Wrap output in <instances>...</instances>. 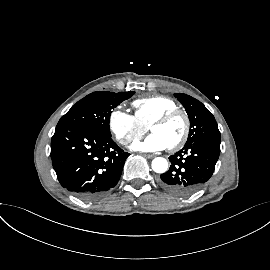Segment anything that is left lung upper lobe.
Instances as JSON below:
<instances>
[{"label": "left lung upper lobe", "instance_id": "5c2ea615", "mask_svg": "<svg viewBox=\"0 0 270 270\" xmlns=\"http://www.w3.org/2000/svg\"><path fill=\"white\" fill-rule=\"evenodd\" d=\"M174 96L182 103L190 120V130L186 144L200 139L221 140L214 116L200 101L183 93H176Z\"/></svg>", "mask_w": 270, "mask_h": 270}]
</instances>
